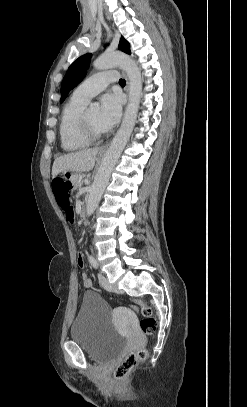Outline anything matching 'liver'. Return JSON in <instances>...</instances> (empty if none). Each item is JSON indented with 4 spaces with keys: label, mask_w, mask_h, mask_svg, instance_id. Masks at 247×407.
<instances>
[{
    "label": "liver",
    "mask_w": 247,
    "mask_h": 407,
    "mask_svg": "<svg viewBox=\"0 0 247 407\" xmlns=\"http://www.w3.org/2000/svg\"><path fill=\"white\" fill-rule=\"evenodd\" d=\"M99 149H84L57 157L52 166V177L61 172H87L94 168Z\"/></svg>",
    "instance_id": "6515ba94"
}]
</instances>
